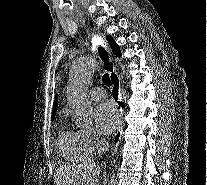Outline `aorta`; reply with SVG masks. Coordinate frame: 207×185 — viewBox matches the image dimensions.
Wrapping results in <instances>:
<instances>
[{
    "label": "aorta",
    "instance_id": "762f6f07",
    "mask_svg": "<svg viewBox=\"0 0 207 185\" xmlns=\"http://www.w3.org/2000/svg\"><path fill=\"white\" fill-rule=\"evenodd\" d=\"M96 67L94 58H84L74 62L69 72L67 99L78 127L88 128L92 125L93 109L87 92ZM109 184L116 185L115 174L111 176Z\"/></svg>",
    "mask_w": 207,
    "mask_h": 185
}]
</instances>
